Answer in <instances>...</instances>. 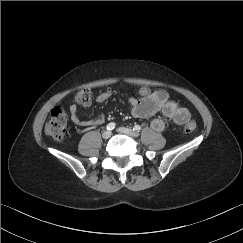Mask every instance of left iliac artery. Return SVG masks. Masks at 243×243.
<instances>
[{
  "label": "left iliac artery",
  "instance_id": "left-iliac-artery-1",
  "mask_svg": "<svg viewBox=\"0 0 243 243\" xmlns=\"http://www.w3.org/2000/svg\"><path fill=\"white\" fill-rule=\"evenodd\" d=\"M134 130L137 131V132H139V131L141 130V127H140L139 125H136V126L134 127Z\"/></svg>",
  "mask_w": 243,
  "mask_h": 243
}]
</instances>
